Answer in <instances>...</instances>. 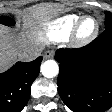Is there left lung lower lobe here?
<instances>
[{"label":"left lung lower lobe","instance_id":"left-lung-lower-lobe-1","mask_svg":"<svg viewBox=\"0 0 112 112\" xmlns=\"http://www.w3.org/2000/svg\"><path fill=\"white\" fill-rule=\"evenodd\" d=\"M58 92L74 112H103L112 107V27L90 44L58 49Z\"/></svg>","mask_w":112,"mask_h":112}]
</instances>
